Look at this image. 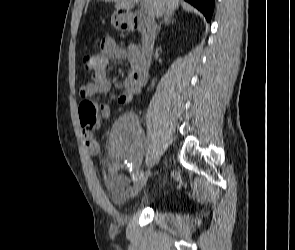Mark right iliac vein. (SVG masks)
I'll list each match as a JSON object with an SVG mask.
<instances>
[{
  "label": "right iliac vein",
  "mask_w": 295,
  "mask_h": 250,
  "mask_svg": "<svg viewBox=\"0 0 295 250\" xmlns=\"http://www.w3.org/2000/svg\"><path fill=\"white\" fill-rule=\"evenodd\" d=\"M147 177H148L147 175H143L134 183L132 190H131L132 197H135L136 195H138L140 193V191L142 190V188L146 184Z\"/></svg>",
  "instance_id": "right-iliac-vein-1"
}]
</instances>
